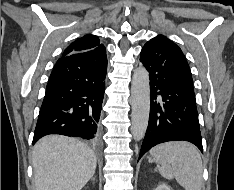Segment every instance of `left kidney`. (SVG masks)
I'll return each instance as SVG.
<instances>
[{
	"instance_id": "1",
	"label": "left kidney",
	"mask_w": 234,
	"mask_h": 190,
	"mask_svg": "<svg viewBox=\"0 0 234 190\" xmlns=\"http://www.w3.org/2000/svg\"><path fill=\"white\" fill-rule=\"evenodd\" d=\"M154 190H171L170 187L168 185H166L165 183H161L160 185L157 186L156 189Z\"/></svg>"
}]
</instances>
